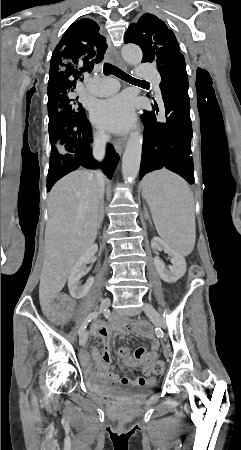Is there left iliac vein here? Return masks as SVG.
<instances>
[{"label":"left iliac vein","instance_id":"obj_1","mask_svg":"<svg viewBox=\"0 0 241 450\" xmlns=\"http://www.w3.org/2000/svg\"><path fill=\"white\" fill-rule=\"evenodd\" d=\"M144 311L153 323H155L157 326L165 327L163 319L160 317L159 313L151 303H146L144 305Z\"/></svg>","mask_w":241,"mask_h":450}]
</instances>
